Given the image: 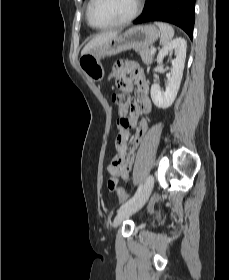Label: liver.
<instances>
[{
  "label": "liver",
  "instance_id": "obj_1",
  "mask_svg": "<svg viewBox=\"0 0 229 280\" xmlns=\"http://www.w3.org/2000/svg\"><path fill=\"white\" fill-rule=\"evenodd\" d=\"M119 34V31H107L95 36L91 39L81 51V56L88 53L93 48L105 43L106 41L116 37Z\"/></svg>",
  "mask_w": 229,
  "mask_h": 280
}]
</instances>
